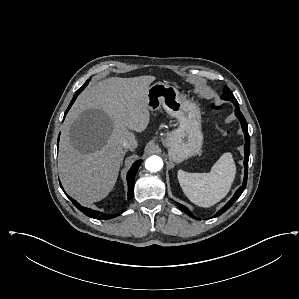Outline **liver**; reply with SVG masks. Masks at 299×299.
I'll use <instances>...</instances> for the list:
<instances>
[{
    "label": "liver",
    "instance_id": "6515ba94",
    "mask_svg": "<svg viewBox=\"0 0 299 299\" xmlns=\"http://www.w3.org/2000/svg\"><path fill=\"white\" fill-rule=\"evenodd\" d=\"M154 80L106 78L88 86L71 108L60 139L58 167L64 189L81 204L100 201L113 189L123 160L122 141L149 125L147 94ZM78 120L85 122L80 131L73 129Z\"/></svg>",
    "mask_w": 299,
    "mask_h": 299
}]
</instances>
